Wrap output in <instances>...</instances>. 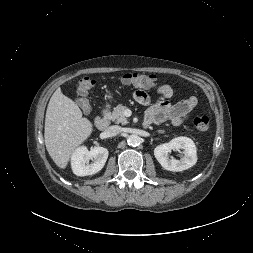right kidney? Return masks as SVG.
<instances>
[{
    "mask_svg": "<svg viewBox=\"0 0 253 253\" xmlns=\"http://www.w3.org/2000/svg\"><path fill=\"white\" fill-rule=\"evenodd\" d=\"M108 158V150L104 147H94L89 151L85 146L75 150L71 157L72 171L77 176H88L99 172ZM89 160L93 163L89 164Z\"/></svg>",
    "mask_w": 253,
    "mask_h": 253,
    "instance_id": "obj_1",
    "label": "right kidney"
}]
</instances>
